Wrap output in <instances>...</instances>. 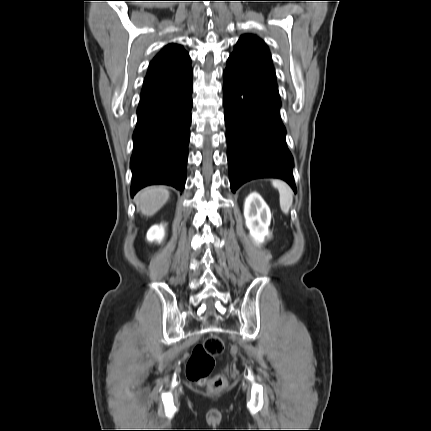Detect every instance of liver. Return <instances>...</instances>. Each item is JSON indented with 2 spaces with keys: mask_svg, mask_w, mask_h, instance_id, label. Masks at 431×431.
Listing matches in <instances>:
<instances>
[{
  "mask_svg": "<svg viewBox=\"0 0 431 431\" xmlns=\"http://www.w3.org/2000/svg\"><path fill=\"white\" fill-rule=\"evenodd\" d=\"M170 192L164 186H151L142 189L135 197L142 215L150 217L157 213L168 201Z\"/></svg>",
  "mask_w": 431,
  "mask_h": 431,
  "instance_id": "liver-1",
  "label": "liver"
}]
</instances>
